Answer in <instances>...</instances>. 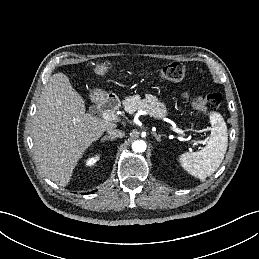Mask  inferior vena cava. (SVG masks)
<instances>
[{
	"mask_svg": "<svg viewBox=\"0 0 259 259\" xmlns=\"http://www.w3.org/2000/svg\"><path fill=\"white\" fill-rule=\"evenodd\" d=\"M107 133L110 136L119 137V138H122L125 135L123 131H120L118 129H108Z\"/></svg>",
	"mask_w": 259,
	"mask_h": 259,
	"instance_id": "602c4592",
	"label": "inferior vena cava"
}]
</instances>
